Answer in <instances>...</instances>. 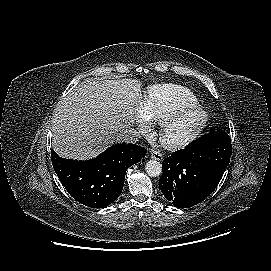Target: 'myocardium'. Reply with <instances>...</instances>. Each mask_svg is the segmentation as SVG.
<instances>
[{
    "label": "myocardium",
    "instance_id": "myocardium-1",
    "mask_svg": "<svg viewBox=\"0 0 271 271\" xmlns=\"http://www.w3.org/2000/svg\"><path fill=\"white\" fill-rule=\"evenodd\" d=\"M198 115L199 119L188 134L180 138H171L169 130L180 119ZM209 120L207 110L200 104L184 107L165 116L159 122V138L163 146L169 149H180L190 145L202 133Z\"/></svg>",
    "mask_w": 271,
    "mask_h": 271
}]
</instances>
